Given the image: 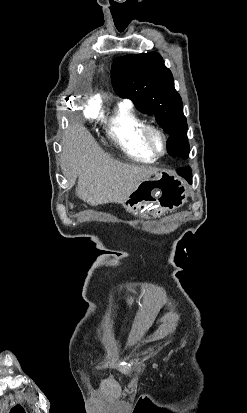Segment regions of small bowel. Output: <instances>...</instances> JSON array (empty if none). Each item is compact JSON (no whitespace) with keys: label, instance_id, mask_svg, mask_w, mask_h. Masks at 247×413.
Segmentation results:
<instances>
[{"label":"small bowel","instance_id":"c3829d8e","mask_svg":"<svg viewBox=\"0 0 247 413\" xmlns=\"http://www.w3.org/2000/svg\"><path fill=\"white\" fill-rule=\"evenodd\" d=\"M132 301H133L132 298H129V299H128V301H127V307L132 303Z\"/></svg>","mask_w":247,"mask_h":413}]
</instances>
